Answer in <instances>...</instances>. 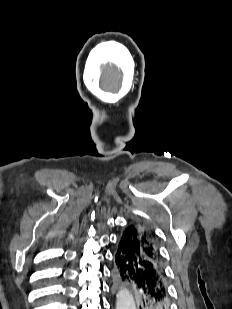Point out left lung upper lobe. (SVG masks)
Returning a JSON list of instances; mask_svg holds the SVG:
<instances>
[{"mask_svg": "<svg viewBox=\"0 0 232 309\" xmlns=\"http://www.w3.org/2000/svg\"><path fill=\"white\" fill-rule=\"evenodd\" d=\"M130 228L135 233L136 239L145 255L161 264V256L154 232L148 226L140 222L131 223Z\"/></svg>", "mask_w": 232, "mask_h": 309, "instance_id": "1", "label": "left lung upper lobe"}]
</instances>
